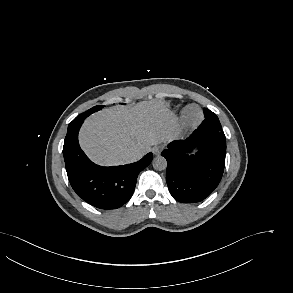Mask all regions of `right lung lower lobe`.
Segmentation results:
<instances>
[{
	"label": "right lung lower lobe",
	"mask_w": 293,
	"mask_h": 293,
	"mask_svg": "<svg viewBox=\"0 0 293 293\" xmlns=\"http://www.w3.org/2000/svg\"><path fill=\"white\" fill-rule=\"evenodd\" d=\"M89 113L77 116L69 125L63 155L69 182L85 202L100 209H117L127 203L135 189L138 174L152 161L148 153L138 162L101 167L91 162L81 150L77 134Z\"/></svg>",
	"instance_id": "right-lung-lower-lobe-1"
}]
</instances>
